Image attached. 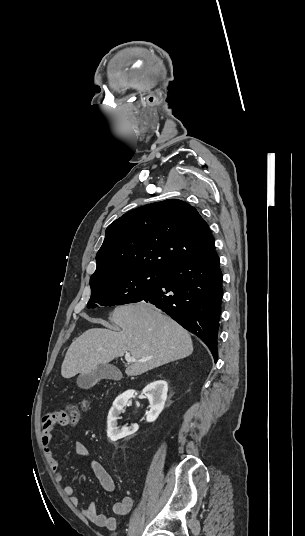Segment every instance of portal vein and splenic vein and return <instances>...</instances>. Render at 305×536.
Returning a JSON list of instances; mask_svg holds the SVG:
<instances>
[{"mask_svg": "<svg viewBox=\"0 0 305 536\" xmlns=\"http://www.w3.org/2000/svg\"><path fill=\"white\" fill-rule=\"evenodd\" d=\"M125 360L126 362H140V360H135V358H132L130 354H125Z\"/></svg>", "mask_w": 305, "mask_h": 536, "instance_id": "18ae733b", "label": "portal vein and splenic vein"}]
</instances>
